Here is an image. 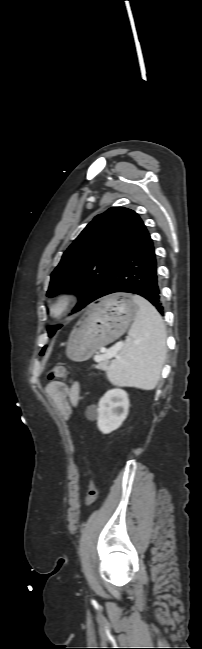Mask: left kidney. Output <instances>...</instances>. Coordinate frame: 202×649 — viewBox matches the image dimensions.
<instances>
[{"label": "left kidney", "instance_id": "obj_1", "mask_svg": "<svg viewBox=\"0 0 202 649\" xmlns=\"http://www.w3.org/2000/svg\"><path fill=\"white\" fill-rule=\"evenodd\" d=\"M99 430L108 434L121 426L129 412V398L125 390L114 388L108 390L98 403Z\"/></svg>", "mask_w": 202, "mask_h": 649}]
</instances>
